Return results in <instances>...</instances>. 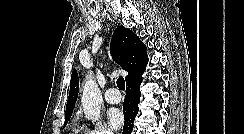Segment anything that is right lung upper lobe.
Masks as SVG:
<instances>
[{
	"mask_svg": "<svg viewBox=\"0 0 244 134\" xmlns=\"http://www.w3.org/2000/svg\"><path fill=\"white\" fill-rule=\"evenodd\" d=\"M111 55L124 70L128 72L126 83L140 78L148 63L146 46L139 37L123 26H119L113 33L111 40ZM79 91V78L74 69L71 76L70 92L66 105L65 116L72 115Z\"/></svg>",
	"mask_w": 244,
	"mask_h": 134,
	"instance_id": "1",
	"label": "right lung upper lobe"
}]
</instances>
